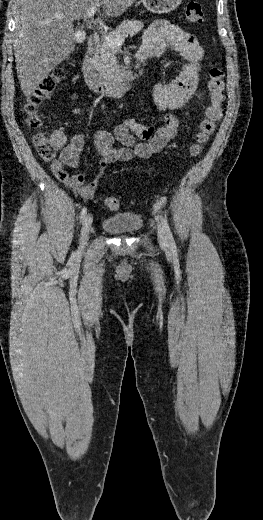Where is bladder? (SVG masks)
Here are the masks:
<instances>
[{"instance_id": "obj_1", "label": "bladder", "mask_w": 263, "mask_h": 520, "mask_svg": "<svg viewBox=\"0 0 263 520\" xmlns=\"http://www.w3.org/2000/svg\"><path fill=\"white\" fill-rule=\"evenodd\" d=\"M142 226V217L132 212L115 214L103 219L101 222V227L105 232L117 235L134 234Z\"/></svg>"}]
</instances>
